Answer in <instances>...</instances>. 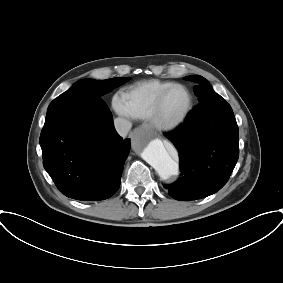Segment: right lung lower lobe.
Returning a JSON list of instances; mask_svg holds the SVG:
<instances>
[{
    "label": "right lung lower lobe",
    "mask_w": 283,
    "mask_h": 283,
    "mask_svg": "<svg viewBox=\"0 0 283 283\" xmlns=\"http://www.w3.org/2000/svg\"><path fill=\"white\" fill-rule=\"evenodd\" d=\"M39 142L45 170L67 197L99 201L118 190L130 142L102 100L48 115Z\"/></svg>",
    "instance_id": "right-lung-lower-lobe-1"
}]
</instances>
